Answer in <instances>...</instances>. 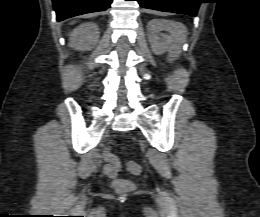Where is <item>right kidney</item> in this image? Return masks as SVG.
<instances>
[{
  "mask_svg": "<svg viewBox=\"0 0 260 217\" xmlns=\"http://www.w3.org/2000/svg\"><path fill=\"white\" fill-rule=\"evenodd\" d=\"M99 29L94 23H85L77 27L70 34L69 46L75 50L87 51L96 44Z\"/></svg>",
  "mask_w": 260,
  "mask_h": 217,
  "instance_id": "ca27d5eb",
  "label": "right kidney"
}]
</instances>
